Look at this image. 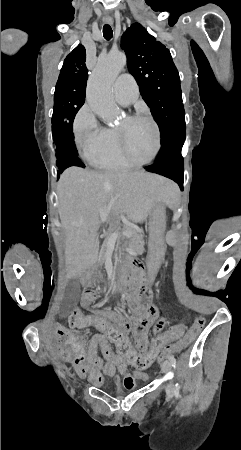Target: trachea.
<instances>
[{
  "mask_svg": "<svg viewBox=\"0 0 241 450\" xmlns=\"http://www.w3.org/2000/svg\"><path fill=\"white\" fill-rule=\"evenodd\" d=\"M103 36L106 40H111V38L113 37V30L110 25H104Z\"/></svg>",
  "mask_w": 241,
  "mask_h": 450,
  "instance_id": "1",
  "label": "trachea"
}]
</instances>
